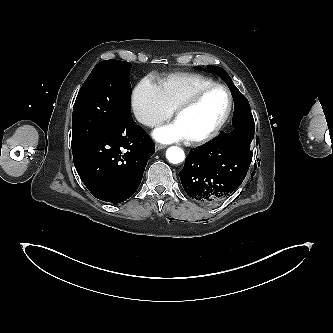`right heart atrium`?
<instances>
[{
    "label": "right heart atrium",
    "mask_w": 333,
    "mask_h": 333,
    "mask_svg": "<svg viewBox=\"0 0 333 333\" xmlns=\"http://www.w3.org/2000/svg\"><path fill=\"white\" fill-rule=\"evenodd\" d=\"M131 105L136 119L147 127L157 126L172 115L159 87L150 79H143L135 87Z\"/></svg>",
    "instance_id": "right-heart-atrium-1"
}]
</instances>
